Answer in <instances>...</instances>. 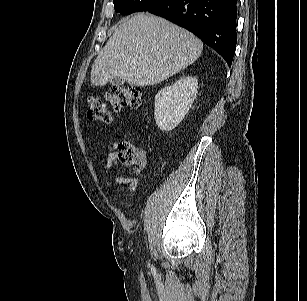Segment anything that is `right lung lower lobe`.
<instances>
[{
	"mask_svg": "<svg viewBox=\"0 0 307 301\" xmlns=\"http://www.w3.org/2000/svg\"><path fill=\"white\" fill-rule=\"evenodd\" d=\"M236 3L237 0H157L142 11L188 29L231 66L237 43Z\"/></svg>",
	"mask_w": 307,
	"mask_h": 301,
	"instance_id": "obj_1",
	"label": "right lung lower lobe"
}]
</instances>
